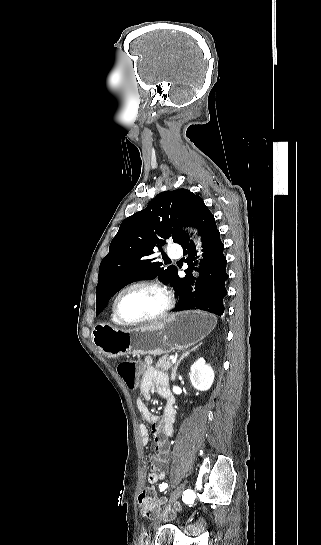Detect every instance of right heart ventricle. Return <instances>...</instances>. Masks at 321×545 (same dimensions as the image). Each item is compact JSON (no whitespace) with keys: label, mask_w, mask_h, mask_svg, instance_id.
<instances>
[{"label":"right heart ventricle","mask_w":321,"mask_h":545,"mask_svg":"<svg viewBox=\"0 0 321 545\" xmlns=\"http://www.w3.org/2000/svg\"><path fill=\"white\" fill-rule=\"evenodd\" d=\"M110 321L114 326H121V324L118 322V320H117V318L115 316V313H114V302L111 305Z\"/></svg>","instance_id":"1"}]
</instances>
